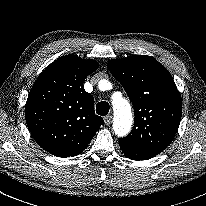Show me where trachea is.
<instances>
[{"mask_svg":"<svg viewBox=\"0 0 206 206\" xmlns=\"http://www.w3.org/2000/svg\"><path fill=\"white\" fill-rule=\"evenodd\" d=\"M96 112L98 115L106 116L109 112V104L106 101H101L96 106Z\"/></svg>","mask_w":206,"mask_h":206,"instance_id":"trachea-1","label":"trachea"}]
</instances>
